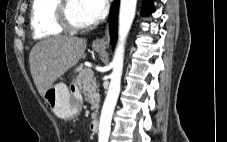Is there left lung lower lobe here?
Listing matches in <instances>:
<instances>
[{"label":"left lung lower lobe","mask_w":227,"mask_h":142,"mask_svg":"<svg viewBox=\"0 0 227 142\" xmlns=\"http://www.w3.org/2000/svg\"><path fill=\"white\" fill-rule=\"evenodd\" d=\"M118 7H119V0H114L113 4L111 5L110 14H109L110 33H111V39L113 44L116 41V35H117ZM152 10H154L153 0H142V12L148 13Z\"/></svg>","instance_id":"obj_1"}]
</instances>
